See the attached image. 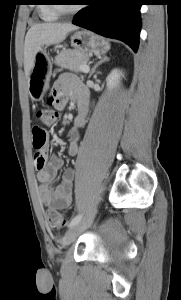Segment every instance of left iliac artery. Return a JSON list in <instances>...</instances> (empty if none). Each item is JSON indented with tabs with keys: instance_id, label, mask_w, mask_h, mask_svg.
Wrapping results in <instances>:
<instances>
[{
	"instance_id": "left-iliac-artery-1",
	"label": "left iliac artery",
	"mask_w": 181,
	"mask_h": 300,
	"mask_svg": "<svg viewBox=\"0 0 181 300\" xmlns=\"http://www.w3.org/2000/svg\"><path fill=\"white\" fill-rule=\"evenodd\" d=\"M81 218H82V215H81V214L76 215V216L71 220V222H70V224H69V227H71V226L77 224V223L81 220Z\"/></svg>"
}]
</instances>
